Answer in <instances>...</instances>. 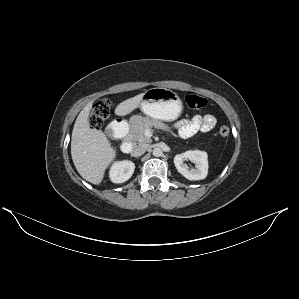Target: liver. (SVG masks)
Wrapping results in <instances>:
<instances>
[{
    "instance_id": "6515ba94",
    "label": "liver",
    "mask_w": 299,
    "mask_h": 299,
    "mask_svg": "<svg viewBox=\"0 0 299 299\" xmlns=\"http://www.w3.org/2000/svg\"><path fill=\"white\" fill-rule=\"evenodd\" d=\"M144 93L129 98L115 109V114L124 116L139 107ZM92 103H88L79 113L72 131L71 155L78 173L88 182L100 184L105 170L116 157V149L111 146L101 130L91 129L89 114Z\"/></svg>"
}]
</instances>
